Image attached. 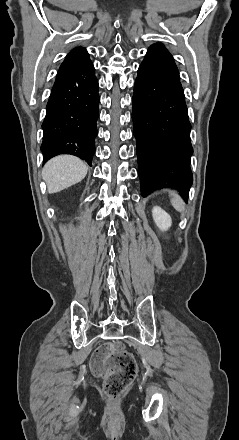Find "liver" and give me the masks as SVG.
Wrapping results in <instances>:
<instances>
[{"label": "liver", "mask_w": 239, "mask_h": 440, "mask_svg": "<svg viewBox=\"0 0 239 440\" xmlns=\"http://www.w3.org/2000/svg\"><path fill=\"white\" fill-rule=\"evenodd\" d=\"M87 170L86 164L75 156L52 158L42 170V178L47 184L48 194H56L73 184H78L84 180Z\"/></svg>", "instance_id": "obj_1"}]
</instances>
